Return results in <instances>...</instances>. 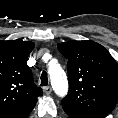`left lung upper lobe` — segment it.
Segmentation results:
<instances>
[{"label":"left lung upper lobe","mask_w":118,"mask_h":118,"mask_svg":"<svg viewBox=\"0 0 118 118\" xmlns=\"http://www.w3.org/2000/svg\"><path fill=\"white\" fill-rule=\"evenodd\" d=\"M68 59L69 93L62 107L71 118H105L118 98V64L93 41L59 43Z\"/></svg>","instance_id":"left-lung-upper-lobe-1"}]
</instances>
